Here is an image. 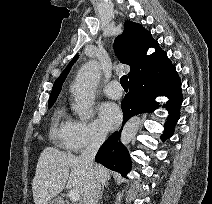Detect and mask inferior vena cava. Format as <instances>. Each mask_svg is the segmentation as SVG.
<instances>
[{"mask_svg":"<svg viewBox=\"0 0 212 204\" xmlns=\"http://www.w3.org/2000/svg\"><path fill=\"white\" fill-rule=\"evenodd\" d=\"M106 138L104 131L95 132L89 145L81 153L80 159L86 164L88 168V175L86 178L85 191L83 196V204H97L101 193V184L96 175L94 165V158Z\"/></svg>","mask_w":212,"mask_h":204,"instance_id":"obj_1","label":"inferior vena cava"}]
</instances>
